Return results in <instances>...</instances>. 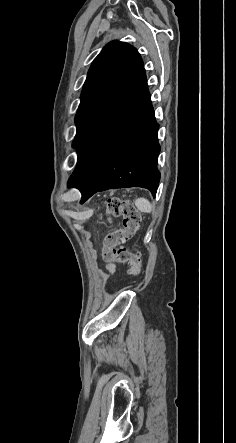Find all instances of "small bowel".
<instances>
[{
    "instance_id": "obj_1",
    "label": "small bowel",
    "mask_w": 236,
    "mask_h": 443,
    "mask_svg": "<svg viewBox=\"0 0 236 443\" xmlns=\"http://www.w3.org/2000/svg\"><path fill=\"white\" fill-rule=\"evenodd\" d=\"M108 270H109L110 272H113V271H114V266H113V265H109V266H108Z\"/></svg>"
}]
</instances>
